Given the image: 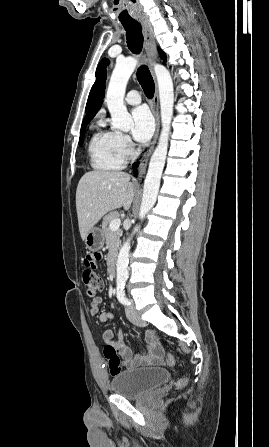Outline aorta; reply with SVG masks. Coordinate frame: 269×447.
Listing matches in <instances>:
<instances>
[{"mask_svg":"<svg viewBox=\"0 0 269 447\" xmlns=\"http://www.w3.org/2000/svg\"><path fill=\"white\" fill-rule=\"evenodd\" d=\"M136 66H138V60H136V58H131V56H129V58H124V60H116V66L112 72L106 98L104 100L111 114V128H113V130L116 128V130L128 132L133 126V120L130 114H128L126 106H124V96L127 82L131 74L136 70ZM152 66L159 88L162 130L158 144L151 156L148 174L144 182L143 198L139 212L140 220L145 218L146 214L153 208L157 200L160 180L167 158L174 106L173 82L170 72H168L164 66H161V64H152ZM139 227L140 225L134 227V233L135 231H138ZM129 249L130 243L129 239H127L119 251L116 263L117 285H123L129 277V271L127 269Z\"/></svg>","mask_w":269,"mask_h":447,"instance_id":"1","label":"aorta"}]
</instances>
